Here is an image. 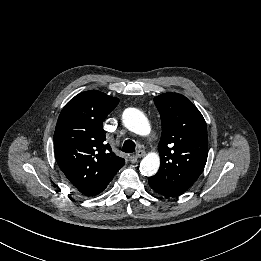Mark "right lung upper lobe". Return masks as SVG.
Masks as SVG:
<instances>
[{
  "mask_svg": "<svg viewBox=\"0 0 261 261\" xmlns=\"http://www.w3.org/2000/svg\"><path fill=\"white\" fill-rule=\"evenodd\" d=\"M119 99L98 90L82 92L62 109L54 132V151L59 168L71 184L85 196L105 190L124 166L103 130V121Z\"/></svg>",
  "mask_w": 261,
  "mask_h": 261,
  "instance_id": "obj_1",
  "label": "right lung upper lobe"
}]
</instances>
